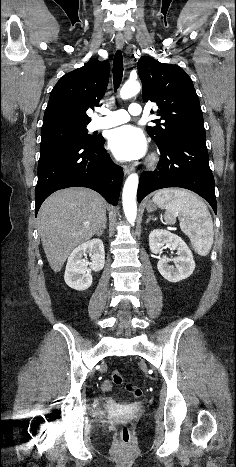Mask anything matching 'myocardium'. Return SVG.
I'll return each instance as SVG.
<instances>
[{"label": "myocardium", "mask_w": 236, "mask_h": 467, "mask_svg": "<svg viewBox=\"0 0 236 467\" xmlns=\"http://www.w3.org/2000/svg\"><path fill=\"white\" fill-rule=\"evenodd\" d=\"M156 162H157V157H156V156H152L151 159H150L151 165H154Z\"/></svg>", "instance_id": "1"}]
</instances>
